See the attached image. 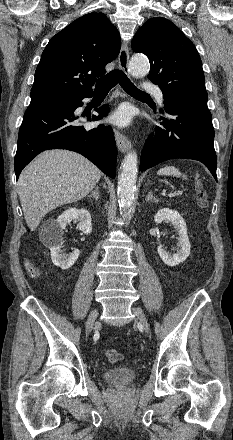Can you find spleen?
<instances>
[{"label": "spleen", "mask_w": 233, "mask_h": 440, "mask_svg": "<svg viewBox=\"0 0 233 440\" xmlns=\"http://www.w3.org/2000/svg\"><path fill=\"white\" fill-rule=\"evenodd\" d=\"M158 175H164V176H175V177H182L183 179H187V176L182 174L176 167L174 166H165L158 170Z\"/></svg>", "instance_id": "obj_1"}]
</instances>
